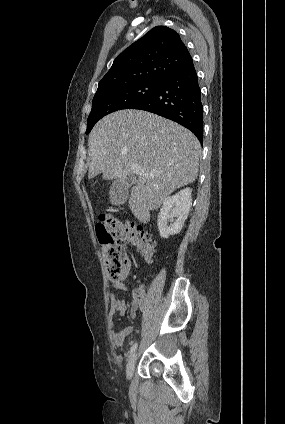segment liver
Wrapping results in <instances>:
<instances>
[{
  "instance_id": "1",
  "label": "liver",
  "mask_w": 285,
  "mask_h": 424,
  "mask_svg": "<svg viewBox=\"0 0 285 424\" xmlns=\"http://www.w3.org/2000/svg\"><path fill=\"white\" fill-rule=\"evenodd\" d=\"M91 179H126L138 165L139 176L128 201L143 223L176 189L193 183L198 175L201 145L185 127L142 110H120L102 118L88 139ZM152 174V176H151Z\"/></svg>"
}]
</instances>
